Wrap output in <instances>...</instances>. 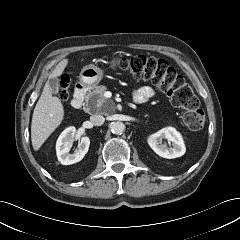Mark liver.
Listing matches in <instances>:
<instances>
[{"mask_svg": "<svg viewBox=\"0 0 240 240\" xmlns=\"http://www.w3.org/2000/svg\"><path fill=\"white\" fill-rule=\"evenodd\" d=\"M68 64V59L60 61L49 75V79L61 76ZM64 108L59 98L53 97L46 82L43 92L34 108L31 123V141L35 151L39 150L47 138L61 124Z\"/></svg>", "mask_w": 240, "mask_h": 240, "instance_id": "obj_1", "label": "liver"}]
</instances>
